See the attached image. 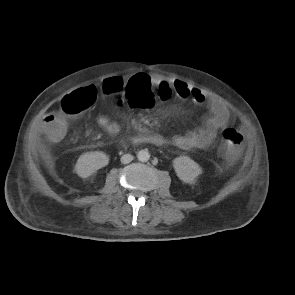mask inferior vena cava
Instances as JSON below:
<instances>
[{"label":"inferior vena cava","mask_w":295,"mask_h":295,"mask_svg":"<svg viewBox=\"0 0 295 295\" xmlns=\"http://www.w3.org/2000/svg\"><path fill=\"white\" fill-rule=\"evenodd\" d=\"M133 160V156L131 154H125L121 157V162L123 164H128Z\"/></svg>","instance_id":"inferior-vena-cava-1"}]
</instances>
